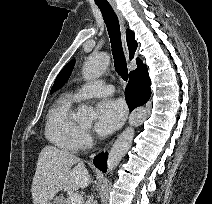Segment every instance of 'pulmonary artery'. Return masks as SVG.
Here are the masks:
<instances>
[{
	"mask_svg": "<svg viewBox=\"0 0 212 204\" xmlns=\"http://www.w3.org/2000/svg\"><path fill=\"white\" fill-rule=\"evenodd\" d=\"M114 91L113 86L105 83L102 80H95L82 85L74 92V97L77 100H83L91 97L107 96Z\"/></svg>",
	"mask_w": 212,
	"mask_h": 204,
	"instance_id": "1",
	"label": "pulmonary artery"
}]
</instances>
